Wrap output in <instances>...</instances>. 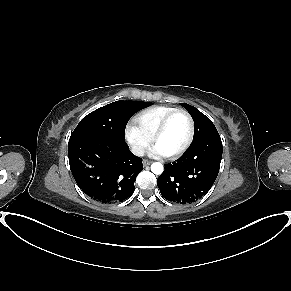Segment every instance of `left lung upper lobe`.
Masks as SVG:
<instances>
[{
  "label": "left lung upper lobe",
  "instance_id": "obj_1",
  "mask_svg": "<svg viewBox=\"0 0 291 291\" xmlns=\"http://www.w3.org/2000/svg\"><path fill=\"white\" fill-rule=\"evenodd\" d=\"M181 105L188 110L194 120L195 130L192 143L201 141L210 136L219 135L212 121L197 108L185 103H181Z\"/></svg>",
  "mask_w": 291,
  "mask_h": 291
}]
</instances>
